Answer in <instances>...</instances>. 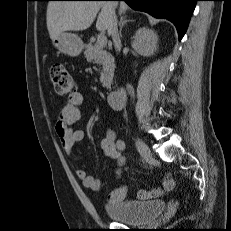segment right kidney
I'll return each instance as SVG.
<instances>
[{
	"label": "right kidney",
	"instance_id": "right-kidney-1",
	"mask_svg": "<svg viewBox=\"0 0 231 231\" xmlns=\"http://www.w3.org/2000/svg\"><path fill=\"white\" fill-rule=\"evenodd\" d=\"M158 36L153 30L142 27L139 28L132 41V48L140 55L152 56L157 51Z\"/></svg>",
	"mask_w": 231,
	"mask_h": 231
}]
</instances>
